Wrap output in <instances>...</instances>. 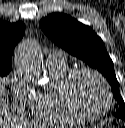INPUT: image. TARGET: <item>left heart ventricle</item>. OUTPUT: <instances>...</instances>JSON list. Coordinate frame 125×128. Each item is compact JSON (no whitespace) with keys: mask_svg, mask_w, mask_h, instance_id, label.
Instances as JSON below:
<instances>
[{"mask_svg":"<svg viewBox=\"0 0 125 128\" xmlns=\"http://www.w3.org/2000/svg\"><path fill=\"white\" fill-rule=\"evenodd\" d=\"M73 96L77 105L88 114H98L106 105V96L100 82L88 74L77 79Z\"/></svg>","mask_w":125,"mask_h":128,"instance_id":"left-heart-ventricle-1","label":"left heart ventricle"}]
</instances>
